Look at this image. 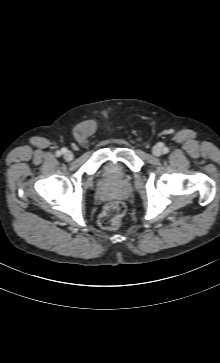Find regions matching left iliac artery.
Returning a JSON list of instances; mask_svg holds the SVG:
<instances>
[{"mask_svg": "<svg viewBox=\"0 0 220 363\" xmlns=\"http://www.w3.org/2000/svg\"><path fill=\"white\" fill-rule=\"evenodd\" d=\"M164 153H167L168 152V148H164Z\"/></svg>", "mask_w": 220, "mask_h": 363, "instance_id": "left-iliac-artery-1", "label": "left iliac artery"}]
</instances>
